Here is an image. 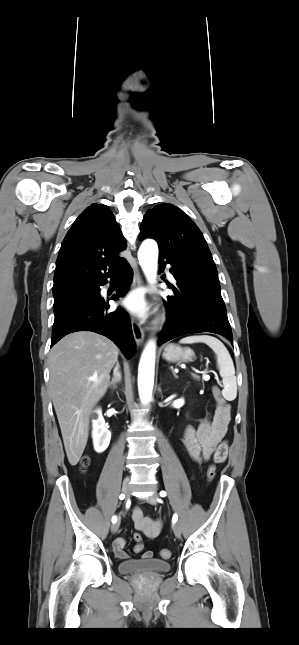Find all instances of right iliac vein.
Listing matches in <instances>:
<instances>
[{"label":"right iliac vein","mask_w":299,"mask_h":645,"mask_svg":"<svg viewBox=\"0 0 299 645\" xmlns=\"http://www.w3.org/2000/svg\"><path fill=\"white\" fill-rule=\"evenodd\" d=\"M129 481H130L129 478L126 477L124 479L123 485H122V492L125 494L126 499H128L129 496H130V483H129ZM119 525H120L119 521L112 524L111 532L113 534H115L118 531Z\"/></svg>","instance_id":"right-iliac-vein-1"}]
</instances>
